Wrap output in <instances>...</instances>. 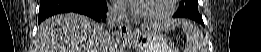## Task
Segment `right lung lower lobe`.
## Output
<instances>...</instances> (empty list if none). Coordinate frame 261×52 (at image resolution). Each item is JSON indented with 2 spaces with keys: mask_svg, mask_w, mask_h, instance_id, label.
Returning a JSON list of instances; mask_svg holds the SVG:
<instances>
[{
  "mask_svg": "<svg viewBox=\"0 0 261 52\" xmlns=\"http://www.w3.org/2000/svg\"><path fill=\"white\" fill-rule=\"evenodd\" d=\"M65 12H76L101 21L107 12V5L105 0H41L38 23Z\"/></svg>",
  "mask_w": 261,
  "mask_h": 52,
  "instance_id": "1",
  "label": "right lung lower lobe"
}]
</instances>
